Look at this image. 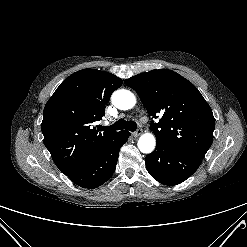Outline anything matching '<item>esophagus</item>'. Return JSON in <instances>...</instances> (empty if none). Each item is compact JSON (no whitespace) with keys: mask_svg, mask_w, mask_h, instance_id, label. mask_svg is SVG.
Here are the masks:
<instances>
[{"mask_svg":"<svg viewBox=\"0 0 247 247\" xmlns=\"http://www.w3.org/2000/svg\"><path fill=\"white\" fill-rule=\"evenodd\" d=\"M142 134V130L141 129H137L135 132H132V136L133 137H138Z\"/></svg>","mask_w":247,"mask_h":247,"instance_id":"34e87169","label":"esophagus"}]
</instances>
